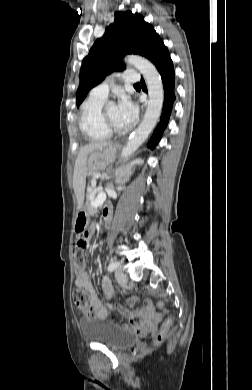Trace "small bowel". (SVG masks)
<instances>
[{
	"instance_id": "small-bowel-1",
	"label": "small bowel",
	"mask_w": 252,
	"mask_h": 390,
	"mask_svg": "<svg viewBox=\"0 0 252 390\" xmlns=\"http://www.w3.org/2000/svg\"><path fill=\"white\" fill-rule=\"evenodd\" d=\"M108 216L109 211H102V219ZM91 238V231L86 232V247L89 245ZM101 288L105 299L109 301L114 293V288L110 278L106 275L102 276L100 280ZM75 285L79 288H84L89 293L90 306L95 310V316L98 319H107L110 317L113 310L112 306L104 305L100 300L93 283L86 272L78 274L75 279ZM134 298L129 299L128 307L118 305L116 308L126 318V322L119 321L118 323L124 328L131 329L140 335H149L156 331L159 322L163 317V313H157L152 303L146 302L145 305L137 307ZM158 308L162 310V303L158 304Z\"/></svg>"
}]
</instances>
